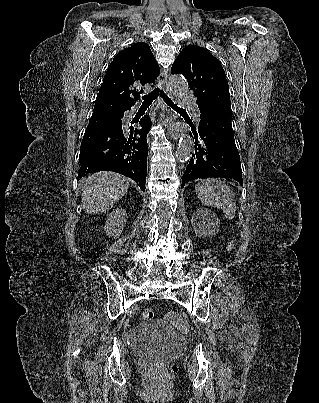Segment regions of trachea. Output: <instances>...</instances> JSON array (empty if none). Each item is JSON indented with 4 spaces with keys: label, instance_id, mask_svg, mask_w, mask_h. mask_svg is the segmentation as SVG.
<instances>
[{
    "label": "trachea",
    "instance_id": "obj_1",
    "mask_svg": "<svg viewBox=\"0 0 319 403\" xmlns=\"http://www.w3.org/2000/svg\"><path fill=\"white\" fill-rule=\"evenodd\" d=\"M160 96L163 98V100L173 109H178V110H183L182 108L178 107L176 104H174L172 102V100L163 92V90H161L160 88H155L151 93L142 96V99L144 100V102L142 103V105H150L152 104L153 100H155L158 96Z\"/></svg>",
    "mask_w": 319,
    "mask_h": 403
}]
</instances>
